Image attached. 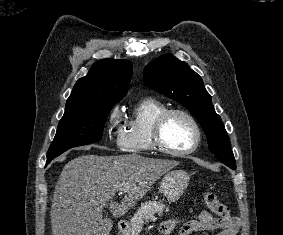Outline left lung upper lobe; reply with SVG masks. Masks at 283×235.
Returning <instances> with one entry per match:
<instances>
[{
    "mask_svg": "<svg viewBox=\"0 0 283 235\" xmlns=\"http://www.w3.org/2000/svg\"><path fill=\"white\" fill-rule=\"evenodd\" d=\"M145 83L152 89L179 102L201 124L214 155L233 156L230 141L220 116L215 112L211 96L201 77L171 54L151 61L143 71Z\"/></svg>",
    "mask_w": 283,
    "mask_h": 235,
    "instance_id": "1",
    "label": "left lung upper lobe"
}]
</instances>
